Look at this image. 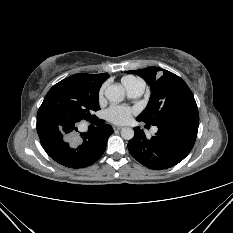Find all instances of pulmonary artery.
I'll return each mask as SVG.
<instances>
[{"label": "pulmonary artery", "mask_w": 233, "mask_h": 233, "mask_svg": "<svg viewBox=\"0 0 233 233\" xmlns=\"http://www.w3.org/2000/svg\"><path fill=\"white\" fill-rule=\"evenodd\" d=\"M145 85L139 84L127 89V94L130 98H139L144 93ZM152 131L155 133L157 128L154 127Z\"/></svg>", "instance_id": "obj_1"}]
</instances>
